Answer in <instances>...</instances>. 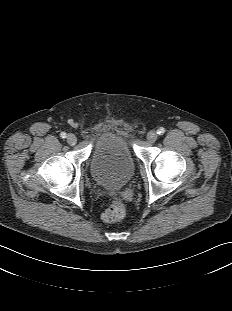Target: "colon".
<instances>
[{
	"instance_id": "1",
	"label": "colon",
	"mask_w": 232,
	"mask_h": 311,
	"mask_svg": "<svg viewBox=\"0 0 232 311\" xmlns=\"http://www.w3.org/2000/svg\"><path fill=\"white\" fill-rule=\"evenodd\" d=\"M125 206L120 198L114 197L110 206L103 212L102 218L108 223H115L125 216Z\"/></svg>"
}]
</instances>
